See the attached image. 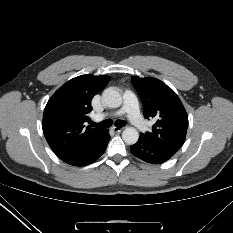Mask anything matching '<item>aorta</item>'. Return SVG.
<instances>
[{"mask_svg": "<svg viewBox=\"0 0 233 233\" xmlns=\"http://www.w3.org/2000/svg\"><path fill=\"white\" fill-rule=\"evenodd\" d=\"M103 102L109 108H118L122 104V96L114 87H109L102 94ZM122 138L125 143L132 145L139 139V133L134 127H127L122 132Z\"/></svg>", "mask_w": 233, "mask_h": 233, "instance_id": "762f6f07", "label": "aorta"}]
</instances>
